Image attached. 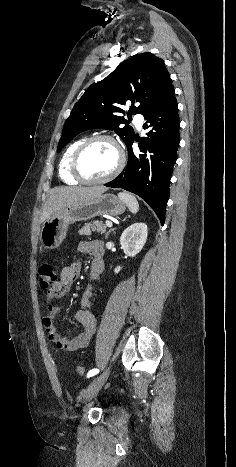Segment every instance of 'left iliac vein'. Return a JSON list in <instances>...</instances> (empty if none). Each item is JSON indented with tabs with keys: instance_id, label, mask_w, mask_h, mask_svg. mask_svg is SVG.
Segmentation results:
<instances>
[{
	"instance_id": "obj_1",
	"label": "left iliac vein",
	"mask_w": 236,
	"mask_h": 467,
	"mask_svg": "<svg viewBox=\"0 0 236 467\" xmlns=\"http://www.w3.org/2000/svg\"><path fill=\"white\" fill-rule=\"evenodd\" d=\"M110 370L107 369L104 373L94 378L88 387L82 393V402L87 403L91 401L99 392L108 378Z\"/></svg>"
}]
</instances>
